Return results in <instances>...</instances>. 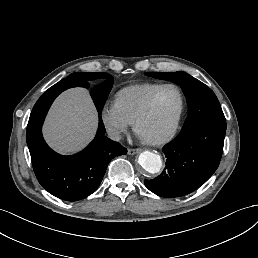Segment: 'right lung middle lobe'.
<instances>
[{"label": "right lung middle lobe", "mask_w": 258, "mask_h": 258, "mask_svg": "<svg viewBox=\"0 0 258 258\" xmlns=\"http://www.w3.org/2000/svg\"><path fill=\"white\" fill-rule=\"evenodd\" d=\"M69 76L78 77L88 81H92L95 79H105V81L97 85V88L92 98L99 115H101L103 106L105 104V101L113 85L112 76L105 72H96V73L76 72V73L70 74Z\"/></svg>", "instance_id": "obj_1"}]
</instances>
